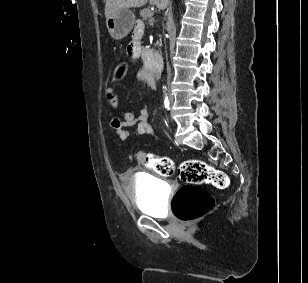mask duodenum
<instances>
[{
  "instance_id": "duodenum-1",
  "label": "duodenum",
  "mask_w": 308,
  "mask_h": 283,
  "mask_svg": "<svg viewBox=\"0 0 308 283\" xmlns=\"http://www.w3.org/2000/svg\"><path fill=\"white\" fill-rule=\"evenodd\" d=\"M143 56L145 62H149V68L152 69H161L163 66V56L155 52L153 48H150L149 50L143 51Z\"/></svg>"
}]
</instances>
